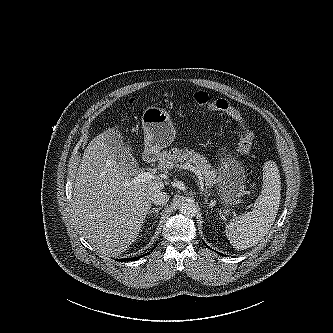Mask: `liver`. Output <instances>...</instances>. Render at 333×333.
Returning a JSON list of instances; mask_svg holds the SVG:
<instances>
[{
    "label": "liver",
    "instance_id": "1",
    "mask_svg": "<svg viewBox=\"0 0 333 333\" xmlns=\"http://www.w3.org/2000/svg\"><path fill=\"white\" fill-rule=\"evenodd\" d=\"M112 134L122 138L115 127L96 136L85 149L71 204L79 233L101 254L117 257L136 241L152 195L164 183H132L128 171L109 153Z\"/></svg>",
    "mask_w": 333,
    "mask_h": 333
}]
</instances>
